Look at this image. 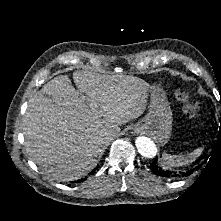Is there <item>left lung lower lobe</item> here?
I'll return each mask as SVG.
<instances>
[{"label": "left lung lower lobe", "mask_w": 221, "mask_h": 221, "mask_svg": "<svg viewBox=\"0 0 221 221\" xmlns=\"http://www.w3.org/2000/svg\"><path fill=\"white\" fill-rule=\"evenodd\" d=\"M201 165L197 166L195 169L197 170L198 168H200ZM150 168L152 170V172L158 176H162V177H181V176H188L190 174L193 173V170H189L188 172H174V171H170V170H165L162 167L159 166L158 164V159L155 158L152 163L150 164Z\"/></svg>", "instance_id": "obj_1"}]
</instances>
